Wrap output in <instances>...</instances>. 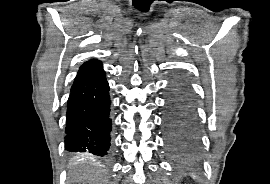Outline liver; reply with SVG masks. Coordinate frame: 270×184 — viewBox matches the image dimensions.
I'll list each match as a JSON object with an SVG mask.
<instances>
[{
  "label": "liver",
  "mask_w": 270,
  "mask_h": 184,
  "mask_svg": "<svg viewBox=\"0 0 270 184\" xmlns=\"http://www.w3.org/2000/svg\"><path fill=\"white\" fill-rule=\"evenodd\" d=\"M104 172L100 169H86L71 174L73 181L79 184H102Z\"/></svg>",
  "instance_id": "1"
}]
</instances>
